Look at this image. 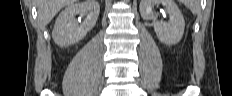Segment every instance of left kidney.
<instances>
[{
    "mask_svg": "<svg viewBox=\"0 0 232 96\" xmlns=\"http://www.w3.org/2000/svg\"><path fill=\"white\" fill-rule=\"evenodd\" d=\"M156 4H162L168 12L169 21H157V15L153 11ZM141 16L146 20H152L158 39L166 45L177 44L184 34L185 21L181 11L173 0H141Z\"/></svg>",
    "mask_w": 232,
    "mask_h": 96,
    "instance_id": "obj_1",
    "label": "left kidney"
}]
</instances>
